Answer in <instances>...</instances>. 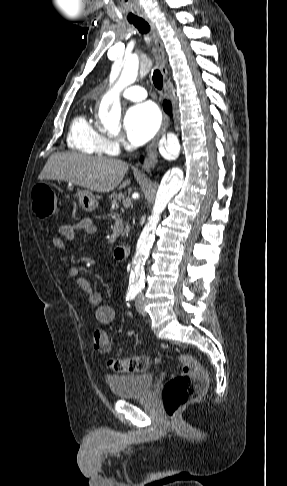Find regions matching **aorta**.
Masks as SVG:
<instances>
[{
    "label": "aorta",
    "mask_w": 287,
    "mask_h": 486,
    "mask_svg": "<svg viewBox=\"0 0 287 486\" xmlns=\"http://www.w3.org/2000/svg\"><path fill=\"white\" fill-rule=\"evenodd\" d=\"M118 69V68H117ZM138 65L134 62L127 61L114 84L113 90L117 93L132 84L138 75ZM121 107L117 99L107 98L100 103L98 110V119L106 128H118L120 124ZM167 152L170 155L177 156L180 152V143L174 133L167 134V140L164 143ZM182 179L177 173L173 174L167 182H164L158 191L157 198L153 207L152 214L149 216L148 223L143 228L136 247V254L133 259L134 268L131 272L130 281L142 285L143 263L149 256L153 242L155 240V228L160 219L162 211L165 209L168 201L180 190Z\"/></svg>",
    "instance_id": "762f6f07"
}]
</instances>
